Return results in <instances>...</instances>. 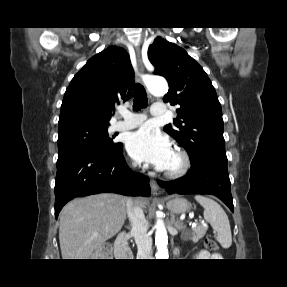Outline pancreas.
Returning <instances> with one entry per match:
<instances>
[{
  "instance_id": "obj_1",
  "label": "pancreas",
  "mask_w": 287,
  "mask_h": 287,
  "mask_svg": "<svg viewBox=\"0 0 287 287\" xmlns=\"http://www.w3.org/2000/svg\"><path fill=\"white\" fill-rule=\"evenodd\" d=\"M207 229V226L204 225H199L192 228V241L198 242V240L206 234Z\"/></svg>"
}]
</instances>
